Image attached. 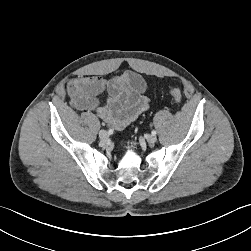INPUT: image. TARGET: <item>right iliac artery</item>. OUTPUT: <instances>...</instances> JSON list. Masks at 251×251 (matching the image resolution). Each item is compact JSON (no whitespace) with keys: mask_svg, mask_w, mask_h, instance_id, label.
I'll list each match as a JSON object with an SVG mask.
<instances>
[{"mask_svg":"<svg viewBox=\"0 0 251 251\" xmlns=\"http://www.w3.org/2000/svg\"><path fill=\"white\" fill-rule=\"evenodd\" d=\"M108 134H113V129H109Z\"/></svg>","mask_w":251,"mask_h":251,"instance_id":"82829eb1","label":"right iliac artery"}]
</instances>
